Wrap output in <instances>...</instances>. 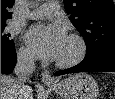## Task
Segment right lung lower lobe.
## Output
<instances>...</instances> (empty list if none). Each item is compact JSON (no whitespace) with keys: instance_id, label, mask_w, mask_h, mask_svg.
Segmentation results:
<instances>
[{"instance_id":"obj_1","label":"right lung lower lobe","mask_w":115,"mask_h":99,"mask_svg":"<svg viewBox=\"0 0 115 99\" xmlns=\"http://www.w3.org/2000/svg\"><path fill=\"white\" fill-rule=\"evenodd\" d=\"M16 59L17 56L14 46L9 49L1 48V73H11L16 64Z\"/></svg>"}]
</instances>
